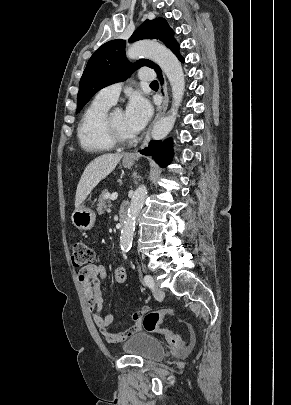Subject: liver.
Segmentation results:
<instances>
[{
  "instance_id": "6515ba94",
  "label": "liver",
  "mask_w": 291,
  "mask_h": 405,
  "mask_svg": "<svg viewBox=\"0 0 291 405\" xmlns=\"http://www.w3.org/2000/svg\"><path fill=\"white\" fill-rule=\"evenodd\" d=\"M122 157V154H104L88 164L77 186L75 209H78L95 186L115 169Z\"/></svg>"
}]
</instances>
